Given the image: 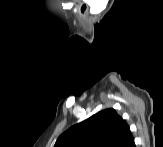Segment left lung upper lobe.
Masks as SVG:
<instances>
[{
    "instance_id": "5c2ea615",
    "label": "left lung upper lobe",
    "mask_w": 163,
    "mask_h": 147,
    "mask_svg": "<svg viewBox=\"0 0 163 147\" xmlns=\"http://www.w3.org/2000/svg\"><path fill=\"white\" fill-rule=\"evenodd\" d=\"M127 127L114 109H105L69 128L54 147H115Z\"/></svg>"
}]
</instances>
